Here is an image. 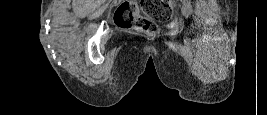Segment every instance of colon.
Returning a JSON list of instances; mask_svg holds the SVG:
<instances>
[{
    "instance_id": "1",
    "label": "colon",
    "mask_w": 267,
    "mask_h": 115,
    "mask_svg": "<svg viewBox=\"0 0 267 115\" xmlns=\"http://www.w3.org/2000/svg\"><path fill=\"white\" fill-rule=\"evenodd\" d=\"M140 2L153 20L139 15L136 1H126L116 11V23L121 27H135L145 33L156 34L159 31L158 23L168 22L172 17V0H141Z\"/></svg>"
}]
</instances>
